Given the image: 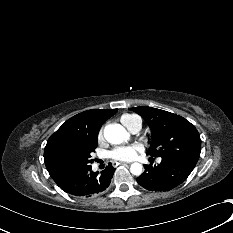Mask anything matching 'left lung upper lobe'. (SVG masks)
I'll list each match as a JSON object with an SVG mask.
<instances>
[{"mask_svg": "<svg viewBox=\"0 0 233 233\" xmlns=\"http://www.w3.org/2000/svg\"><path fill=\"white\" fill-rule=\"evenodd\" d=\"M141 115L151 129L152 142L148 154L170 156L195 166L201 152L197 129L185 118L148 106L130 108Z\"/></svg>", "mask_w": 233, "mask_h": 233, "instance_id": "1", "label": "left lung upper lobe"}]
</instances>
